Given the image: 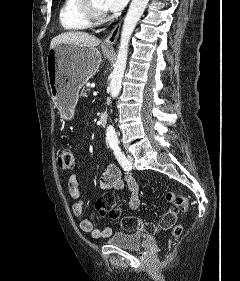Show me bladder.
I'll return each instance as SVG.
<instances>
[{
    "mask_svg": "<svg viewBox=\"0 0 240 281\" xmlns=\"http://www.w3.org/2000/svg\"><path fill=\"white\" fill-rule=\"evenodd\" d=\"M108 244L126 250H140L145 244V235L139 232H117L108 239Z\"/></svg>",
    "mask_w": 240,
    "mask_h": 281,
    "instance_id": "1",
    "label": "bladder"
}]
</instances>
